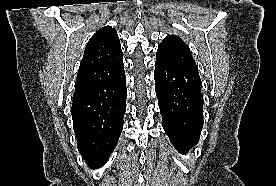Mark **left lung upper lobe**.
I'll return each instance as SVG.
<instances>
[{
    "mask_svg": "<svg viewBox=\"0 0 276 186\" xmlns=\"http://www.w3.org/2000/svg\"><path fill=\"white\" fill-rule=\"evenodd\" d=\"M156 62L198 72L189 47L176 35L166 36L158 46Z\"/></svg>",
    "mask_w": 276,
    "mask_h": 186,
    "instance_id": "left-lung-upper-lobe-1",
    "label": "left lung upper lobe"
}]
</instances>
